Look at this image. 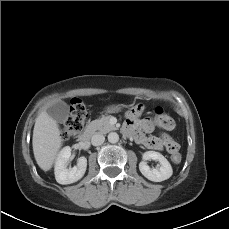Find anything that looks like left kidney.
<instances>
[{
	"label": "left kidney",
	"mask_w": 229,
	"mask_h": 229,
	"mask_svg": "<svg viewBox=\"0 0 229 229\" xmlns=\"http://www.w3.org/2000/svg\"><path fill=\"white\" fill-rule=\"evenodd\" d=\"M155 160L160 163L158 168L151 169L147 160ZM139 170L147 179L154 182H161L172 176L173 170L169 161L159 152L147 151L143 154V161L139 164Z\"/></svg>",
	"instance_id": "left-kidney-1"
}]
</instances>
